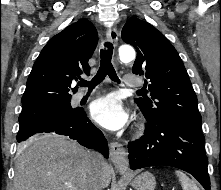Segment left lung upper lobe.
Masks as SVG:
<instances>
[{"label": "left lung upper lobe", "mask_w": 221, "mask_h": 190, "mask_svg": "<svg viewBox=\"0 0 221 190\" xmlns=\"http://www.w3.org/2000/svg\"><path fill=\"white\" fill-rule=\"evenodd\" d=\"M122 39L137 50L132 72L143 75L151 98H136L145 118L175 119L202 132L197 97L184 64L168 39L148 22L131 17Z\"/></svg>", "instance_id": "5c2ea615"}]
</instances>
